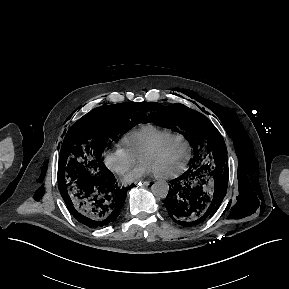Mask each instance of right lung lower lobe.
Returning a JSON list of instances; mask_svg holds the SVG:
<instances>
[{"label":"right lung lower lobe","mask_w":289,"mask_h":289,"mask_svg":"<svg viewBox=\"0 0 289 289\" xmlns=\"http://www.w3.org/2000/svg\"><path fill=\"white\" fill-rule=\"evenodd\" d=\"M128 189L118 187L114 175L107 169L81 179L61 195L77 221L90 228H101L118 218Z\"/></svg>","instance_id":"98d812e1"}]
</instances>
